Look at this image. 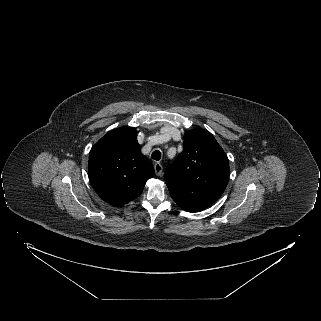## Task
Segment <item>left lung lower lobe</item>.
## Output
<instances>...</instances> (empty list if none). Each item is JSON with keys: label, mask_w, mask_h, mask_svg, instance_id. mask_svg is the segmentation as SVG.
Segmentation results:
<instances>
[{"label": "left lung lower lobe", "mask_w": 321, "mask_h": 321, "mask_svg": "<svg viewBox=\"0 0 321 321\" xmlns=\"http://www.w3.org/2000/svg\"><path fill=\"white\" fill-rule=\"evenodd\" d=\"M182 209L185 210V211H188V212H200V211L203 210V209H200V208H187V207L182 208Z\"/></svg>", "instance_id": "1"}]
</instances>
